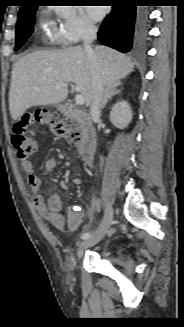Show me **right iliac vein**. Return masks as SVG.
I'll return each mask as SVG.
<instances>
[{"label": "right iliac vein", "mask_w": 184, "mask_h": 327, "mask_svg": "<svg viewBox=\"0 0 184 327\" xmlns=\"http://www.w3.org/2000/svg\"><path fill=\"white\" fill-rule=\"evenodd\" d=\"M112 221H113V208L109 205L106 208L104 218L97 231L88 239L80 243L77 251V255L79 258L83 255L86 249L94 246L104 237V235L110 228Z\"/></svg>", "instance_id": "63e3f726"}]
</instances>
